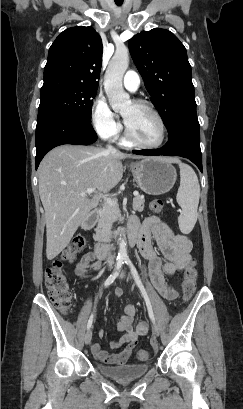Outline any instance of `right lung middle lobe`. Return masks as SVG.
Masks as SVG:
<instances>
[{"label": "right lung middle lobe", "instance_id": "obj_1", "mask_svg": "<svg viewBox=\"0 0 243 409\" xmlns=\"http://www.w3.org/2000/svg\"><path fill=\"white\" fill-rule=\"evenodd\" d=\"M97 89L60 80H44L41 88L37 123L61 117L91 124V109Z\"/></svg>", "mask_w": 243, "mask_h": 409}]
</instances>
